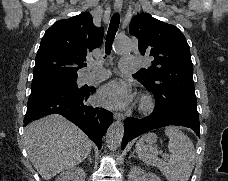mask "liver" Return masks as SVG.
<instances>
[{
  "label": "liver",
  "instance_id": "1",
  "mask_svg": "<svg viewBox=\"0 0 228 181\" xmlns=\"http://www.w3.org/2000/svg\"><path fill=\"white\" fill-rule=\"evenodd\" d=\"M28 159L44 181L73 169L91 153V141L62 115H48L25 127Z\"/></svg>",
  "mask_w": 228,
  "mask_h": 181
}]
</instances>
